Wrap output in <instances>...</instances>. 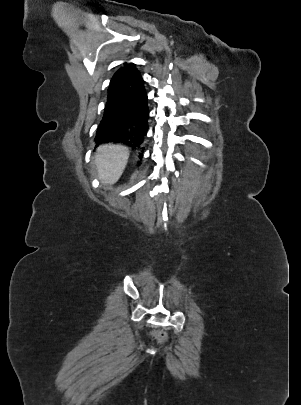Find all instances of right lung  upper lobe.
Wrapping results in <instances>:
<instances>
[{
	"label": "right lung upper lobe",
	"mask_w": 301,
	"mask_h": 405,
	"mask_svg": "<svg viewBox=\"0 0 301 405\" xmlns=\"http://www.w3.org/2000/svg\"><path fill=\"white\" fill-rule=\"evenodd\" d=\"M126 65V64H125ZM123 70V68L119 69L113 76L112 80L118 76V74ZM111 80V81H112Z\"/></svg>",
	"instance_id": "right-lung-upper-lobe-1"
}]
</instances>
